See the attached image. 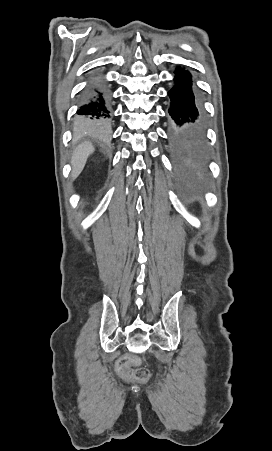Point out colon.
Segmentation results:
<instances>
[{"instance_id": "obj_1", "label": "colon", "mask_w": 272, "mask_h": 451, "mask_svg": "<svg viewBox=\"0 0 272 451\" xmlns=\"http://www.w3.org/2000/svg\"><path fill=\"white\" fill-rule=\"evenodd\" d=\"M136 360L132 358H116V372L117 374H131L132 365ZM148 376L146 365H137L136 371L132 372V377L135 380H144Z\"/></svg>"}]
</instances>
